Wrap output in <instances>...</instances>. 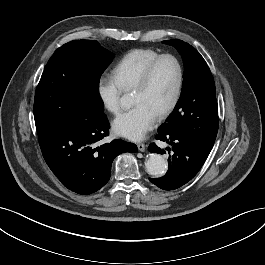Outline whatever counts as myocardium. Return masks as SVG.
<instances>
[{"label":"myocardium","mask_w":265,"mask_h":265,"mask_svg":"<svg viewBox=\"0 0 265 265\" xmlns=\"http://www.w3.org/2000/svg\"><path fill=\"white\" fill-rule=\"evenodd\" d=\"M166 59L172 60L175 63L177 67L178 78H177V84H176L174 95L171 101L169 102V104L157 115L159 119H163L169 116L174 111V109L176 108V106L178 105L180 101L182 90H183V85H184V69H183V66L180 60L172 54L159 55L145 67V69L143 70L139 79L137 80V82L135 83L133 87V90H139V91L144 90L148 86L152 73L154 69L156 68V66L161 61L166 60Z\"/></svg>","instance_id":"obj_1"}]
</instances>
